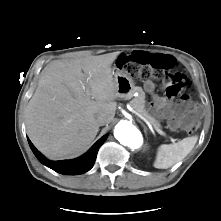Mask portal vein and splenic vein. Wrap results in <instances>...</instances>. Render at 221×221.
<instances>
[{
    "mask_svg": "<svg viewBox=\"0 0 221 221\" xmlns=\"http://www.w3.org/2000/svg\"><path fill=\"white\" fill-rule=\"evenodd\" d=\"M145 122L146 124L148 125V127L150 129L154 128L156 130V132H158L160 135L166 137V133L164 131H162L160 128L156 127V126H153L148 120H146L144 117H142L141 115H139ZM172 141L174 142V139H172Z\"/></svg>",
    "mask_w": 221,
    "mask_h": 221,
    "instance_id": "portal-vein-and-splenic-vein-1",
    "label": "portal vein and splenic vein"
}]
</instances>
